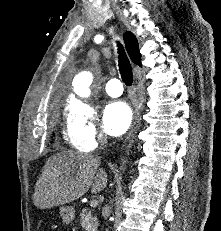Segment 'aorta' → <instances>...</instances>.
Wrapping results in <instances>:
<instances>
[{"label":"aorta","mask_w":221,"mask_h":231,"mask_svg":"<svg viewBox=\"0 0 221 231\" xmlns=\"http://www.w3.org/2000/svg\"><path fill=\"white\" fill-rule=\"evenodd\" d=\"M93 81V76L90 72H82L73 80L74 92L80 97H88L90 95L89 86Z\"/></svg>","instance_id":"762f6f07"}]
</instances>
